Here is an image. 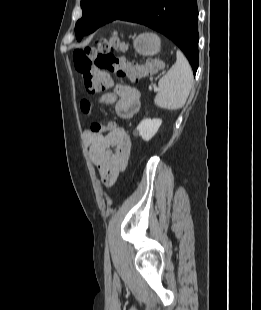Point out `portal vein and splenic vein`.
<instances>
[{"label":"portal vein and splenic vein","mask_w":261,"mask_h":310,"mask_svg":"<svg viewBox=\"0 0 261 310\" xmlns=\"http://www.w3.org/2000/svg\"><path fill=\"white\" fill-rule=\"evenodd\" d=\"M149 89L152 90V88H149ZM158 90H159V89H157V88H154V89H153L154 92H157Z\"/></svg>","instance_id":"portal-vein-and-splenic-vein-1"}]
</instances>
